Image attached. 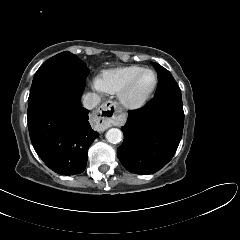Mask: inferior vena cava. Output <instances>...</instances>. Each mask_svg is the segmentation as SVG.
Listing matches in <instances>:
<instances>
[{
  "mask_svg": "<svg viewBox=\"0 0 240 240\" xmlns=\"http://www.w3.org/2000/svg\"><path fill=\"white\" fill-rule=\"evenodd\" d=\"M101 101V98L98 94L96 93H87L84 97H83V106L88 109L91 110L93 108H95Z\"/></svg>",
  "mask_w": 240,
  "mask_h": 240,
  "instance_id": "1",
  "label": "inferior vena cava"
}]
</instances>
